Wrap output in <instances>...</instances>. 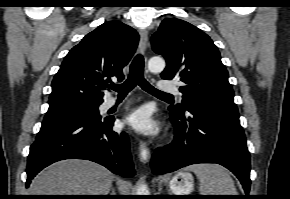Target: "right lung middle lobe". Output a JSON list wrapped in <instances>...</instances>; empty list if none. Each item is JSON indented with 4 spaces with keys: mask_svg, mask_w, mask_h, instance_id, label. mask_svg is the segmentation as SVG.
Listing matches in <instances>:
<instances>
[{
    "mask_svg": "<svg viewBox=\"0 0 290 199\" xmlns=\"http://www.w3.org/2000/svg\"><path fill=\"white\" fill-rule=\"evenodd\" d=\"M98 106L85 107L65 113L45 115L43 122H57V121H69V120H80V119H100Z\"/></svg>",
    "mask_w": 290,
    "mask_h": 199,
    "instance_id": "obj_1",
    "label": "right lung middle lobe"
}]
</instances>
